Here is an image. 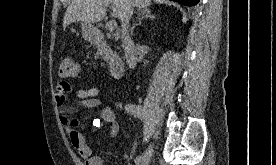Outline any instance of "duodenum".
<instances>
[{
    "label": "duodenum",
    "instance_id": "410a0bca",
    "mask_svg": "<svg viewBox=\"0 0 276 165\" xmlns=\"http://www.w3.org/2000/svg\"><path fill=\"white\" fill-rule=\"evenodd\" d=\"M91 42L103 53L107 54L109 60V71L113 78H120L125 71V63L122 55L106 42L104 35L100 32L93 33L90 36Z\"/></svg>",
    "mask_w": 276,
    "mask_h": 165
}]
</instances>
